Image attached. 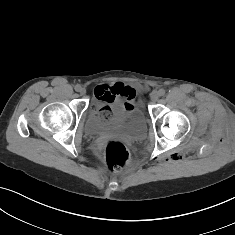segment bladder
Segmentation results:
<instances>
[{
    "mask_svg": "<svg viewBox=\"0 0 235 235\" xmlns=\"http://www.w3.org/2000/svg\"><path fill=\"white\" fill-rule=\"evenodd\" d=\"M85 130L91 135L112 132L131 139H140L146 132V118L138 104L128 107L119 103L113 106L108 118H104L96 109L90 110Z\"/></svg>",
    "mask_w": 235,
    "mask_h": 235,
    "instance_id": "bladder-1",
    "label": "bladder"
}]
</instances>
